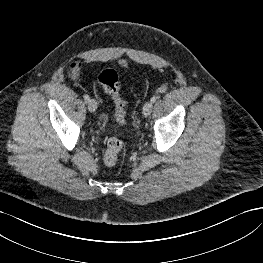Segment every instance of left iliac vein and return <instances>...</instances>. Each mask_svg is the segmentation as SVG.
<instances>
[{
	"label": "left iliac vein",
	"instance_id": "obj_1",
	"mask_svg": "<svg viewBox=\"0 0 263 263\" xmlns=\"http://www.w3.org/2000/svg\"><path fill=\"white\" fill-rule=\"evenodd\" d=\"M153 109V103L151 101H148L143 106V115L149 116Z\"/></svg>",
	"mask_w": 263,
	"mask_h": 263
}]
</instances>
